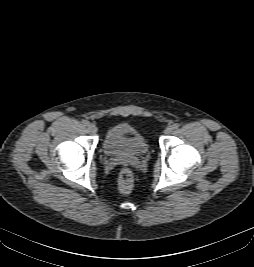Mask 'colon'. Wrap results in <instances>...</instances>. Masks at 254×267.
<instances>
[{
	"label": "colon",
	"mask_w": 254,
	"mask_h": 267,
	"mask_svg": "<svg viewBox=\"0 0 254 267\" xmlns=\"http://www.w3.org/2000/svg\"><path fill=\"white\" fill-rule=\"evenodd\" d=\"M134 185V177L130 168H123L118 177V190L123 193H129Z\"/></svg>",
	"instance_id": "1"
}]
</instances>
